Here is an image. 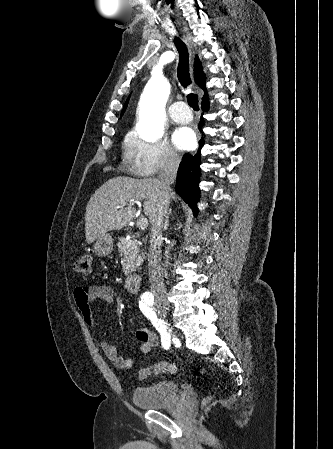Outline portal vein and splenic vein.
<instances>
[{
	"instance_id": "obj_1",
	"label": "portal vein and splenic vein",
	"mask_w": 333,
	"mask_h": 449,
	"mask_svg": "<svg viewBox=\"0 0 333 449\" xmlns=\"http://www.w3.org/2000/svg\"><path fill=\"white\" fill-rule=\"evenodd\" d=\"M138 201H135V200H131L130 201V204L131 205H133L134 203H137ZM148 226V220H147V218H140L138 221H137V227L139 228V229H145L146 227Z\"/></svg>"
}]
</instances>
